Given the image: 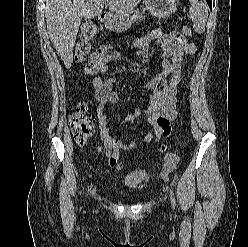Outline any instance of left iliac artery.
Segmentation results:
<instances>
[{"label":"left iliac artery","mask_w":248,"mask_h":247,"mask_svg":"<svg viewBox=\"0 0 248 247\" xmlns=\"http://www.w3.org/2000/svg\"><path fill=\"white\" fill-rule=\"evenodd\" d=\"M170 199H171L172 208L174 209L176 205V200H175L174 193L172 191L170 193Z\"/></svg>","instance_id":"44dca946"}]
</instances>
